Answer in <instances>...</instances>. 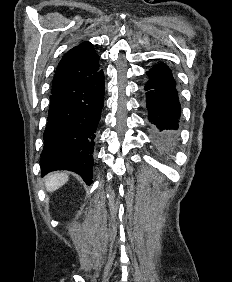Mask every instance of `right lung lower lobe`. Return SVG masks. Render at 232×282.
Returning a JSON list of instances; mask_svg holds the SVG:
<instances>
[{
    "instance_id": "1",
    "label": "right lung lower lobe",
    "mask_w": 232,
    "mask_h": 282,
    "mask_svg": "<svg viewBox=\"0 0 232 282\" xmlns=\"http://www.w3.org/2000/svg\"><path fill=\"white\" fill-rule=\"evenodd\" d=\"M103 104V70L50 96L41 153L42 176L69 170L78 173L87 185L92 183V153Z\"/></svg>"
}]
</instances>
